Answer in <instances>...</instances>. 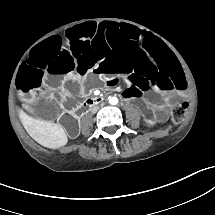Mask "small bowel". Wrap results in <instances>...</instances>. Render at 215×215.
<instances>
[{"label": "small bowel", "mask_w": 215, "mask_h": 215, "mask_svg": "<svg viewBox=\"0 0 215 215\" xmlns=\"http://www.w3.org/2000/svg\"><path fill=\"white\" fill-rule=\"evenodd\" d=\"M122 95L124 98L133 99L136 97V92H133V91H129L128 93L124 92L122 93Z\"/></svg>", "instance_id": "1"}]
</instances>
